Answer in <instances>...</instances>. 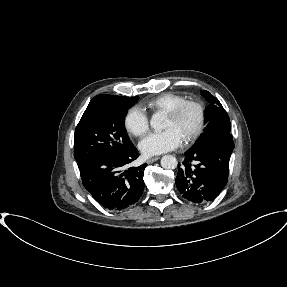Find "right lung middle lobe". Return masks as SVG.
I'll use <instances>...</instances> for the list:
<instances>
[{"label": "right lung middle lobe", "mask_w": 287, "mask_h": 287, "mask_svg": "<svg viewBox=\"0 0 287 287\" xmlns=\"http://www.w3.org/2000/svg\"><path fill=\"white\" fill-rule=\"evenodd\" d=\"M139 97L108 96L96 103L79 121L74 138L78 167L100 154H124L134 149L124 122Z\"/></svg>", "instance_id": "right-lung-middle-lobe-1"}]
</instances>
